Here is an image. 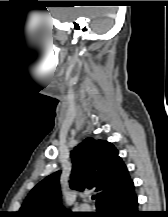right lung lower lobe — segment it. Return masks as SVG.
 <instances>
[{"mask_svg": "<svg viewBox=\"0 0 168 217\" xmlns=\"http://www.w3.org/2000/svg\"><path fill=\"white\" fill-rule=\"evenodd\" d=\"M137 196L134 186L126 193L108 201L99 208L95 217H143L138 211Z\"/></svg>", "mask_w": 168, "mask_h": 217, "instance_id": "98d812e1", "label": "right lung lower lobe"}]
</instances>
